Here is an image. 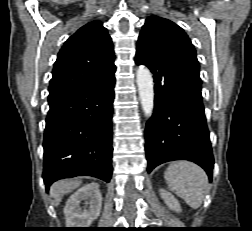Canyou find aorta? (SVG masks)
Masks as SVG:
<instances>
[{
  "instance_id": "obj_1",
  "label": "aorta",
  "mask_w": 252,
  "mask_h": 231,
  "mask_svg": "<svg viewBox=\"0 0 252 231\" xmlns=\"http://www.w3.org/2000/svg\"><path fill=\"white\" fill-rule=\"evenodd\" d=\"M136 82L143 112L151 117L154 107V87L151 72L145 66H139L136 71Z\"/></svg>"
}]
</instances>
